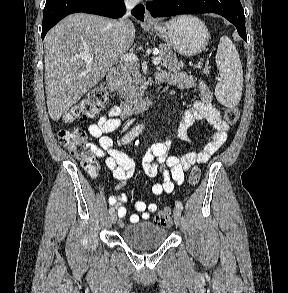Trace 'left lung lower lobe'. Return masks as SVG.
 <instances>
[{"mask_svg": "<svg viewBox=\"0 0 288 293\" xmlns=\"http://www.w3.org/2000/svg\"><path fill=\"white\" fill-rule=\"evenodd\" d=\"M153 17L193 13H216L233 23L245 40V16L240 0H158L146 3Z\"/></svg>", "mask_w": 288, "mask_h": 293, "instance_id": "left-lung-lower-lobe-1", "label": "left lung lower lobe"}]
</instances>
